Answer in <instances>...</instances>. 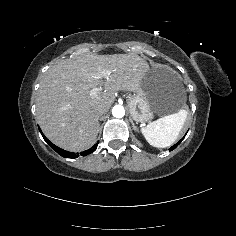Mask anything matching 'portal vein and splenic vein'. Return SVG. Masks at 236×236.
<instances>
[{"instance_id":"18ae733b","label":"portal vein and splenic vein","mask_w":236,"mask_h":236,"mask_svg":"<svg viewBox=\"0 0 236 236\" xmlns=\"http://www.w3.org/2000/svg\"><path fill=\"white\" fill-rule=\"evenodd\" d=\"M110 72H111V71H110L109 69H107V70L103 71V72L101 73V75H102V76H106V75H108ZM99 91H100V89H97V88L91 89L90 92H89V95H90V96H96Z\"/></svg>"}]
</instances>
